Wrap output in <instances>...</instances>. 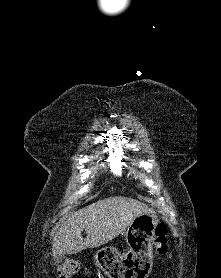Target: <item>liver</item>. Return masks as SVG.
<instances>
[{"label": "liver", "instance_id": "liver-1", "mask_svg": "<svg viewBox=\"0 0 221 278\" xmlns=\"http://www.w3.org/2000/svg\"><path fill=\"white\" fill-rule=\"evenodd\" d=\"M150 213L155 214L151 207L128 197L114 196L92 203L74 212L60 227L53 239V257L104 245L124 233L135 217ZM84 229L85 239L81 235Z\"/></svg>", "mask_w": 221, "mask_h": 278}]
</instances>
